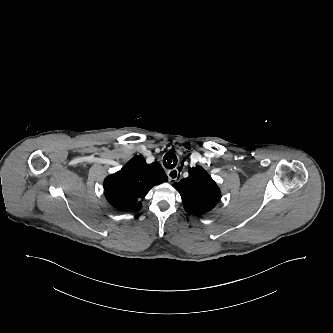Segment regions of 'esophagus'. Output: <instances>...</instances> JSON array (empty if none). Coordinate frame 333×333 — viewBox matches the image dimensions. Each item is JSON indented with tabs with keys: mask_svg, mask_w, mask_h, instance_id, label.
<instances>
[{
	"mask_svg": "<svg viewBox=\"0 0 333 333\" xmlns=\"http://www.w3.org/2000/svg\"><path fill=\"white\" fill-rule=\"evenodd\" d=\"M180 166L177 168L171 169L167 172L170 182H178L181 179V174L179 173Z\"/></svg>",
	"mask_w": 333,
	"mask_h": 333,
	"instance_id": "34e87169",
	"label": "esophagus"
}]
</instances>
